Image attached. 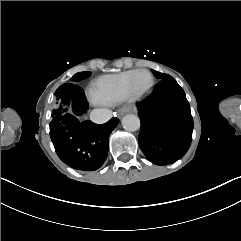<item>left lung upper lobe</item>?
Here are the masks:
<instances>
[{"mask_svg": "<svg viewBox=\"0 0 241 241\" xmlns=\"http://www.w3.org/2000/svg\"><path fill=\"white\" fill-rule=\"evenodd\" d=\"M152 72H153L155 77L160 78V79H165V78H169L170 77V75L162 74V73H159V72L154 71V70H152Z\"/></svg>", "mask_w": 241, "mask_h": 241, "instance_id": "left-lung-upper-lobe-1", "label": "left lung upper lobe"}]
</instances>
